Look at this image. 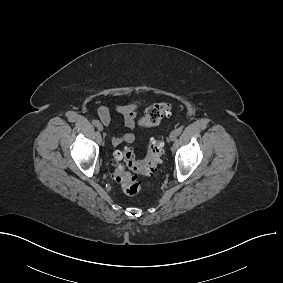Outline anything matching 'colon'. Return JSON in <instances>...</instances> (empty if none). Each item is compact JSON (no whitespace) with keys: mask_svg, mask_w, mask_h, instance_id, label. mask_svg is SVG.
<instances>
[{"mask_svg":"<svg viewBox=\"0 0 283 283\" xmlns=\"http://www.w3.org/2000/svg\"><path fill=\"white\" fill-rule=\"evenodd\" d=\"M173 105L167 102L157 103L148 107L138 120L140 127H152L158 125L163 118L171 115ZM163 155L162 141L152 138L148 145V152L143 160L135 156V152L130 147L115 152L114 159L116 166L113 179L120 185L123 192L134 196L143 187L142 182L137 179V175L149 176L156 172Z\"/></svg>","mask_w":283,"mask_h":283,"instance_id":"1","label":"colon"}]
</instances>
